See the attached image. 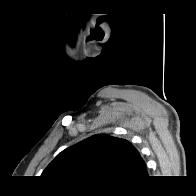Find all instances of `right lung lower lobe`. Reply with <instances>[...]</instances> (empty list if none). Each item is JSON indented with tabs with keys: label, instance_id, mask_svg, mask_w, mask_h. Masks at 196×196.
<instances>
[{
	"label": "right lung lower lobe",
	"instance_id": "obj_1",
	"mask_svg": "<svg viewBox=\"0 0 196 196\" xmlns=\"http://www.w3.org/2000/svg\"><path fill=\"white\" fill-rule=\"evenodd\" d=\"M135 183H137V182L130 183V184H123V185H118V186H131V185H134Z\"/></svg>",
	"mask_w": 196,
	"mask_h": 196
}]
</instances>
